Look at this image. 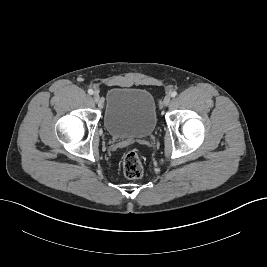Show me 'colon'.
<instances>
[{
  "instance_id": "obj_1",
  "label": "colon",
  "mask_w": 267,
  "mask_h": 267,
  "mask_svg": "<svg viewBox=\"0 0 267 267\" xmlns=\"http://www.w3.org/2000/svg\"><path fill=\"white\" fill-rule=\"evenodd\" d=\"M122 169L124 175L129 179H138L143 176L144 166L136 150L130 149L125 153Z\"/></svg>"
}]
</instances>
